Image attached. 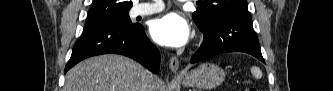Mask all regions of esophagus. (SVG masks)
<instances>
[{
    "mask_svg": "<svg viewBox=\"0 0 333 91\" xmlns=\"http://www.w3.org/2000/svg\"><path fill=\"white\" fill-rule=\"evenodd\" d=\"M179 65H180V62H179L178 58L176 56L171 57L170 62H169V67L173 73H177V71L179 69Z\"/></svg>",
    "mask_w": 333,
    "mask_h": 91,
    "instance_id": "esophagus-1",
    "label": "esophagus"
}]
</instances>
